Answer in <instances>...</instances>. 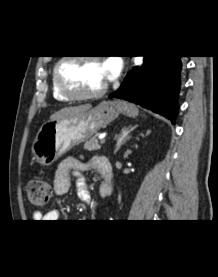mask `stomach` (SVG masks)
<instances>
[{
	"mask_svg": "<svg viewBox=\"0 0 218 277\" xmlns=\"http://www.w3.org/2000/svg\"><path fill=\"white\" fill-rule=\"evenodd\" d=\"M120 114L135 117L138 111L125 101H103L79 115L44 123L32 144L34 159L42 166H50L71 148L96 135Z\"/></svg>",
	"mask_w": 218,
	"mask_h": 277,
	"instance_id": "obj_1",
	"label": "stomach"
}]
</instances>
